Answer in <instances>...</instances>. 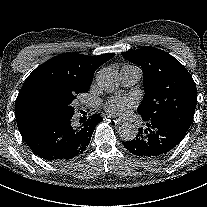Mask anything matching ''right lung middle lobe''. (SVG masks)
<instances>
[{
  "label": "right lung middle lobe",
  "mask_w": 207,
  "mask_h": 207,
  "mask_svg": "<svg viewBox=\"0 0 207 207\" xmlns=\"http://www.w3.org/2000/svg\"><path fill=\"white\" fill-rule=\"evenodd\" d=\"M73 100H63L53 96H39L32 102L34 110L47 121L72 118L74 114Z\"/></svg>",
  "instance_id": "right-lung-middle-lobe-1"
}]
</instances>
